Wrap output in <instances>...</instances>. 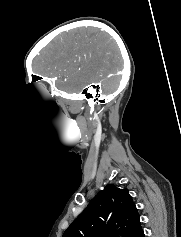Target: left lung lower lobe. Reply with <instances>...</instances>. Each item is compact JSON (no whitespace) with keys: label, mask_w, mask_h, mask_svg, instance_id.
<instances>
[{"label":"left lung lower lobe","mask_w":181,"mask_h":237,"mask_svg":"<svg viewBox=\"0 0 181 237\" xmlns=\"http://www.w3.org/2000/svg\"><path fill=\"white\" fill-rule=\"evenodd\" d=\"M136 237H145V236H144V232L141 231L138 235H136Z\"/></svg>","instance_id":"1"}]
</instances>
